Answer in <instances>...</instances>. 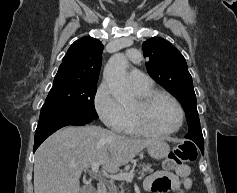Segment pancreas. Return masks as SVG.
I'll return each mask as SVG.
<instances>
[{"mask_svg":"<svg viewBox=\"0 0 237 193\" xmlns=\"http://www.w3.org/2000/svg\"><path fill=\"white\" fill-rule=\"evenodd\" d=\"M138 168H139V173L141 174V176H144L145 173L153 172V169L151 168V164H139ZM131 171L134 172V169ZM108 190H109V193H125V186H124V183L116 185L114 182H110L108 184Z\"/></svg>","mask_w":237,"mask_h":193,"instance_id":"pancreas-1","label":"pancreas"}]
</instances>
